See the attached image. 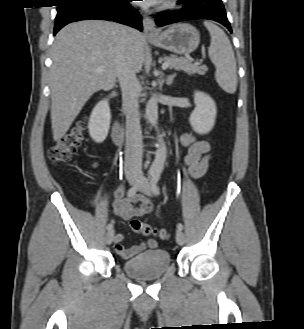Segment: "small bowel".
I'll return each instance as SVG.
<instances>
[{"label": "small bowel", "mask_w": 304, "mask_h": 329, "mask_svg": "<svg viewBox=\"0 0 304 329\" xmlns=\"http://www.w3.org/2000/svg\"><path fill=\"white\" fill-rule=\"evenodd\" d=\"M180 144L186 150L184 162L190 175L193 177L203 176L211 159L210 144L191 133L183 134L180 138ZM123 191L124 187L120 185L117 191L118 198L114 203L115 214L121 219L129 220L133 217H141L153 210L154 206L150 198L134 195L123 199L121 198ZM122 240L123 235L117 234L114 248L117 254L124 259L131 258L145 249L157 247V242L154 239H148L131 247H125Z\"/></svg>", "instance_id": "c3829d8e"}]
</instances>
